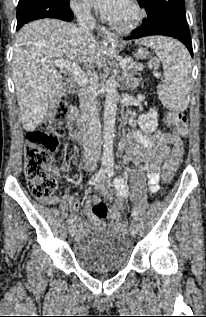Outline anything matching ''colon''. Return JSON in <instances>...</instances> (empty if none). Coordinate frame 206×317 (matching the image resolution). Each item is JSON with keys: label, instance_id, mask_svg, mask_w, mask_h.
Segmentation results:
<instances>
[{"label": "colon", "instance_id": "1", "mask_svg": "<svg viewBox=\"0 0 206 317\" xmlns=\"http://www.w3.org/2000/svg\"><path fill=\"white\" fill-rule=\"evenodd\" d=\"M68 116V105L60 103L55 107L48 121L26 136L25 177L30 193L37 199L48 200L56 191L57 182L51 174L52 154L58 149L59 140L64 134L63 122ZM166 119L174 133L180 136L187 134V117L183 113L170 112ZM182 154V146H175L172 155L165 162L166 179H169L178 168ZM93 213L99 219H106L109 215L107 206L103 202L94 204ZM112 227L119 232H125L127 229L126 224L121 221L114 222Z\"/></svg>", "mask_w": 206, "mask_h": 317}]
</instances>
